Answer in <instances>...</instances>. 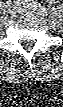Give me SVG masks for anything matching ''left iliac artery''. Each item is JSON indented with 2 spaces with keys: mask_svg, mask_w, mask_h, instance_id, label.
Listing matches in <instances>:
<instances>
[{
  "mask_svg": "<svg viewBox=\"0 0 63 107\" xmlns=\"http://www.w3.org/2000/svg\"><path fill=\"white\" fill-rule=\"evenodd\" d=\"M18 6H24L28 9H31L33 10V12H36L37 14H40V15H47L48 11L47 9L42 6L41 4L33 1V0H24V1H20V0H17V1H14Z\"/></svg>",
  "mask_w": 63,
  "mask_h": 107,
  "instance_id": "left-iliac-artery-1",
  "label": "left iliac artery"
}]
</instances>
